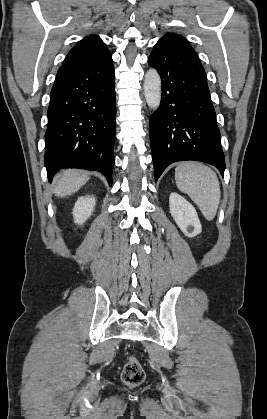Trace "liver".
Masks as SVG:
<instances>
[{
    "label": "liver",
    "mask_w": 267,
    "mask_h": 419,
    "mask_svg": "<svg viewBox=\"0 0 267 419\" xmlns=\"http://www.w3.org/2000/svg\"><path fill=\"white\" fill-rule=\"evenodd\" d=\"M89 180L85 172L64 170L55 181L54 194L58 197L69 196L77 192Z\"/></svg>",
    "instance_id": "liver-1"
}]
</instances>
